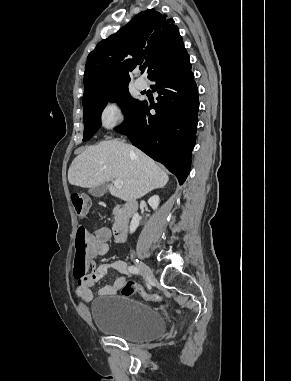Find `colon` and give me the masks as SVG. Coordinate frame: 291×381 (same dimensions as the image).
Listing matches in <instances>:
<instances>
[{"label": "colon", "instance_id": "obj_1", "mask_svg": "<svg viewBox=\"0 0 291 381\" xmlns=\"http://www.w3.org/2000/svg\"><path fill=\"white\" fill-rule=\"evenodd\" d=\"M72 204L80 219L85 220L89 217L90 201L88 198L80 195L73 196ZM75 249V262L79 270L84 272L87 264L88 232L83 226L79 227L77 230ZM120 291L124 296H132L139 293L141 296L149 300H161L159 295L141 290L137 284L132 281L125 282L121 286Z\"/></svg>", "mask_w": 291, "mask_h": 381}]
</instances>
